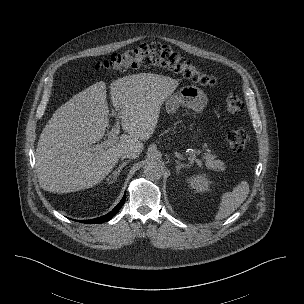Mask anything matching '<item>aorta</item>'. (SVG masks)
I'll return each instance as SVG.
<instances>
[{
	"mask_svg": "<svg viewBox=\"0 0 304 304\" xmlns=\"http://www.w3.org/2000/svg\"><path fill=\"white\" fill-rule=\"evenodd\" d=\"M143 173L149 180H158L163 175V166L157 160H149L144 166Z\"/></svg>",
	"mask_w": 304,
	"mask_h": 304,
	"instance_id": "762f6f07",
	"label": "aorta"
}]
</instances>
